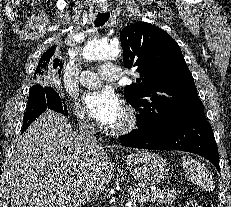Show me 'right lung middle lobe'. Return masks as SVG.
I'll use <instances>...</instances> for the list:
<instances>
[{
    "label": "right lung middle lobe",
    "mask_w": 231,
    "mask_h": 207,
    "mask_svg": "<svg viewBox=\"0 0 231 207\" xmlns=\"http://www.w3.org/2000/svg\"><path fill=\"white\" fill-rule=\"evenodd\" d=\"M42 87L43 86L41 85H34L30 88L28 102H31L33 100V98L35 97L36 91L39 89H42Z\"/></svg>",
    "instance_id": "obj_1"
}]
</instances>
